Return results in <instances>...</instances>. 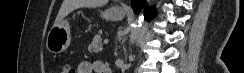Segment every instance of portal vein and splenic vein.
<instances>
[{"instance_id":"obj_1","label":"portal vein and splenic vein","mask_w":244,"mask_h":73,"mask_svg":"<svg viewBox=\"0 0 244 73\" xmlns=\"http://www.w3.org/2000/svg\"><path fill=\"white\" fill-rule=\"evenodd\" d=\"M109 43V40L108 39H105L104 40V44H108Z\"/></svg>"}]
</instances>
